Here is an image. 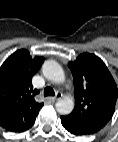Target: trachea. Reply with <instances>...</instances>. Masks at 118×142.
<instances>
[{"instance_id": "3493384b", "label": "trachea", "mask_w": 118, "mask_h": 142, "mask_svg": "<svg viewBox=\"0 0 118 142\" xmlns=\"http://www.w3.org/2000/svg\"><path fill=\"white\" fill-rule=\"evenodd\" d=\"M54 95H55V92H54L53 88L46 87L44 89V96H54Z\"/></svg>"}]
</instances>
